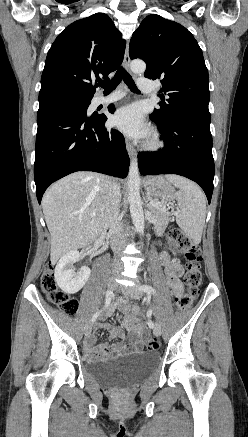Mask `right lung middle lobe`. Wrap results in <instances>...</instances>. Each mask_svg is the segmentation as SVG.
<instances>
[{
	"instance_id": "obj_1",
	"label": "right lung middle lobe",
	"mask_w": 248,
	"mask_h": 437,
	"mask_svg": "<svg viewBox=\"0 0 248 437\" xmlns=\"http://www.w3.org/2000/svg\"><path fill=\"white\" fill-rule=\"evenodd\" d=\"M90 97L79 96L62 91H51L42 95H39V105H44L51 102L66 103L74 108L80 110L85 115L87 113V108L91 103ZM96 114H92L94 116Z\"/></svg>"
}]
</instances>
